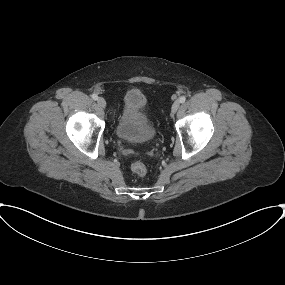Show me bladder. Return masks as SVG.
<instances>
[{
    "mask_svg": "<svg viewBox=\"0 0 285 285\" xmlns=\"http://www.w3.org/2000/svg\"><path fill=\"white\" fill-rule=\"evenodd\" d=\"M147 99L139 89L127 91L115 125L116 136L134 144H146L156 138V129L146 112Z\"/></svg>",
    "mask_w": 285,
    "mask_h": 285,
    "instance_id": "obj_1",
    "label": "bladder"
}]
</instances>
